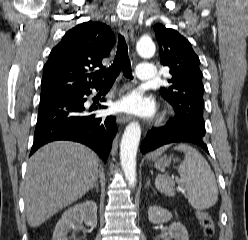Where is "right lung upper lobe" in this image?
Masks as SVG:
<instances>
[{"label":"right lung upper lobe","instance_id":"obj_1","mask_svg":"<svg viewBox=\"0 0 248 240\" xmlns=\"http://www.w3.org/2000/svg\"><path fill=\"white\" fill-rule=\"evenodd\" d=\"M115 39L110 27L101 22H84L69 30L55 46L43 68L40 99L63 96L94 86L102 79V59L111 51Z\"/></svg>","mask_w":248,"mask_h":240}]
</instances>
